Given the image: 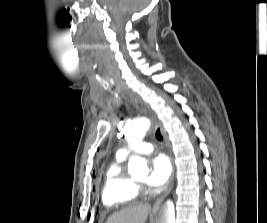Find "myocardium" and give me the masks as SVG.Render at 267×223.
<instances>
[{
    "label": "myocardium",
    "mask_w": 267,
    "mask_h": 223,
    "mask_svg": "<svg viewBox=\"0 0 267 223\" xmlns=\"http://www.w3.org/2000/svg\"><path fill=\"white\" fill-rule=\"evenodd\" d=\"M137 190L143 189V184L140 182L132 181Z\"/></svg>",
    "instance_id": "myocardium-1"
}]
</instances>
